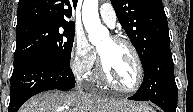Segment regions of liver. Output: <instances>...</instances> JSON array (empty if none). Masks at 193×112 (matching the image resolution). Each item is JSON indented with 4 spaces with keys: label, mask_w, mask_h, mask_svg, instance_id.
<instances>
[{
    "label": "liver",
    "mask_w": 193,
    "mask_h": 112,
    "mask_svg": "<svg viewBox=\"0 0 193 112\" xmlns=\"http://www.w3.org/2000/svg\"><path fill=\"white\" fill-rule=\"evenodd\" d=\"M134 103L87 93L46 91L29 99L19 112H117Z\"/></svg>",
    "instance_id": "1"
}]
</instances>
